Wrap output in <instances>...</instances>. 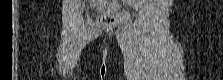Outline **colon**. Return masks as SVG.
Returning <instances> with one entry per match:
<instances>
[{"label": "colon", "mask_w": 223, "mask_h": 80, "mask_svg": "<svg viewBox=\"0 0 223 80\" xmlns=\"http://www.w3.org/2000/svg\"><path fill=\"white\" fill-rule=\"evenodd\" d=\"M99 21L104 26H111L116 23L117 18L115 15L112 14H104L99 18Z\"/></svg>", "instance_id": "colon-1"}]
</instances>
